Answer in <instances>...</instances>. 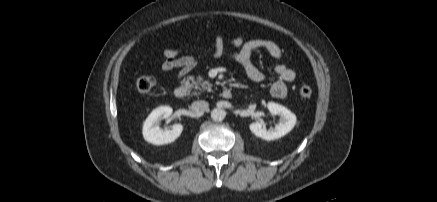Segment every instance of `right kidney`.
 Segmentation results:
<instances>
[{"label":"right kidney","mask_w":437,"mask_h":202,"mask_svg":"<svg viewBox=\"0 0 437 202\" xmlns=\"http://www.w3.org/2000/svg\"><path fill=\"white\" fill-rule=\"evenodd\" d=\"M173 110L169 106H161L153 110L143 125L144 139L154 145H164L174 142L182 133V124H174L171 129L162 130L158 123L162 119H168Z\"/></svg>","instance_id":"1"}]
</instances>
